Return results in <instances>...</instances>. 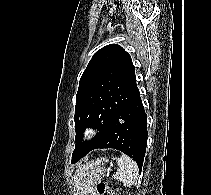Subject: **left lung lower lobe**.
I'll return each instance as SVG.
<instances>
[{
    "label": "left lung lower lobe",
    "mask_w": 211,
    "mask_h": 195,
    "mask_svg": "<svg viewBox=\"0 0 211 195\" xmlns=\"http://www.w3.org/2000/svg\"><path fill=\"white\" fill-rule=\"evenodd\" d=\"M147 116L138 91L108 123L94 149L114 148L133 158L140 170L147 146Z\"/></svg>",
    "instance_id": "1"
}]
</instances>
